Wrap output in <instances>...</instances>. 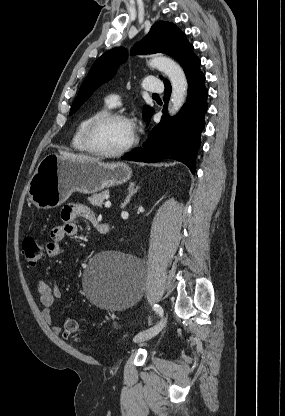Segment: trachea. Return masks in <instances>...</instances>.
Wrapping results in <instances>:
<instances>
[{
    "mask_svg": "<svg viewBox=\"0 0 285 416\" xmlns=\"http://www.w3.org/2000/svg\"><path fill=\"white\" fill-rule=\"evenodd\" d=\"M152 96H159L157 93H153V95Z\"/></svg>",
    "mask_w": 285,
    "mask_h": 416,
    "instance_id": "1",
    "label": "trachea"
}]
</instances>
